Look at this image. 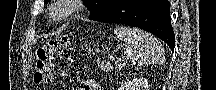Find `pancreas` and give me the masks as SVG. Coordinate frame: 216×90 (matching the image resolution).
I'll return each instance as SVG.
<instances>
[{
  "mask_svg": "<svg viewBox=\"0 0 216 90\" xmlns=\"http://www.w3.org/2000/svg\"><path fill=\"white\" fill-rule=\"evenodd\" d=\"M111 68H112L111 64H100L99 65V72H110Z\"/></svg>",
  "mask_w": 216,
  "mask_h": 90,
  "instance_id": "1",
  "label": "pancreas"
}]
</instances>
